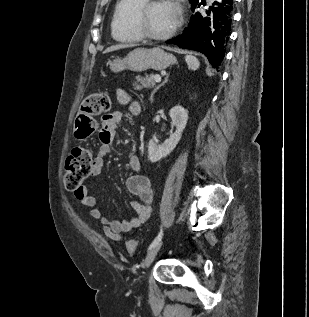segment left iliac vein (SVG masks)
<instances>
[{
    "mask_svg": "<svg viewBox=\"0 0 309 317\" xmlns=\"http://www.w3.org/2000/svg\"><path fill=\"white\" fill-rule=\"evenodd\" d=\"M162 246V241H160L159 243H157L155 246H153L150 251L148 252L145 260H144V267L147 269L149 268V266L151 265V263L153 262L155 256L157 255L158 251L160 250Z\"/></svg>",
    "mask_w": 309,
    "mask_h": 317,
    "instance_id": "obj_1",
    "label": "left iliac vein"
}]
</instances>
